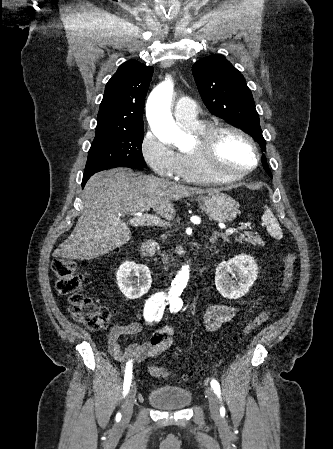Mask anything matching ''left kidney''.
Segmentation results:
<instances>
[{"label":"left kidney","mask_w":333,"mask_h":449,"mask_svg":"<svg viewBox=\"0 0 333 449\" xmlns=\"http://www.w3.org/2000/svg\"><path fill=\"white\" fill-rule=\"evenodd\" d=\"M257 275L258 266L254 258L239 254L216 268V289L225 298L238 299L249 291Z\"/></svg>","instance_id":"5707ae66"}]
</instances>
